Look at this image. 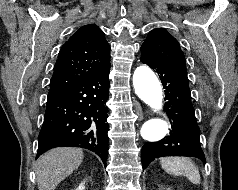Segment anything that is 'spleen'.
I'll return each instance as SVG.
<instances>
[{
	"label": "spleen",
	"mask_w": 238,
	"mask_h": 190,
	"mask_svg": "<svg viewBox=\"0 0 238 190\" xmlns=\"http://www.w3.org/2000/svg\"><path fill=\"white\" fill-rule=\"evenodd\" d=\"M161 167L172 175H182L193 184H200V173L198 168L185 157H166L161 159Z\"/></svg>",
	"instance_id": "3e777b00"
}]
</instances>
